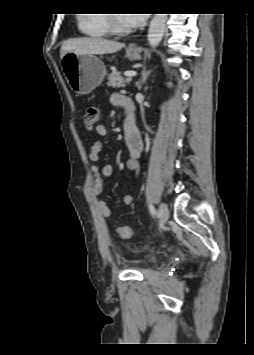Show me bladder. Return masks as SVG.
I'll list each match as a JSON object with an SVG mask.
<instances>
[{
    "instance_id": "obj_1",
    "label": "bladder",
    "mask_w": 254,
    "mask_h": 355,
    "mask_svg": "<svg viewBox=\"0 0 254 355\" xmlns=\"http://www.w3.org/2000/svg\"><path fill=\"white\" fill-rule=\"evenodd\" d=\"M154 260H155L154 256L149 254L148 255V261L152 263V262H154Z\"/></svg>"
}]
</instances>
